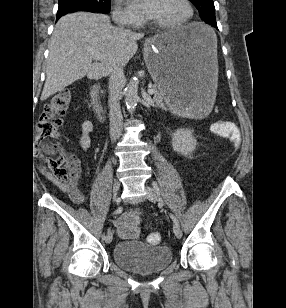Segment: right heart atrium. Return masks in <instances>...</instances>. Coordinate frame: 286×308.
<instances>
[{"mask_svg":"<svg viewBox=\"0 0 286 308\" xmlns=\"http://www.w3.org/2000/svg\"><path fill=\"white\" fill-rule=\"evenodd\" d=\"M113 18L118 25L125 27H136L142 23L139 16L123 7L119 1L116 2L114 7Z\"/></svg>","mask_w":286,"mask_h":308,"instance_id":"obj_1","label":"right heart atrium"}]
</instances>
